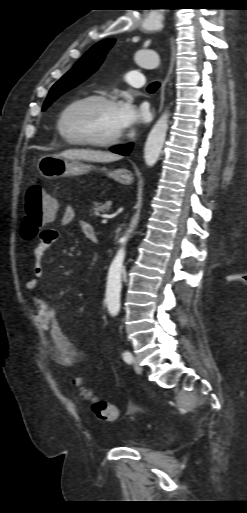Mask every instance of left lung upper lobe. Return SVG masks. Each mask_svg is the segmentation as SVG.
<instances>
[{
    "label": "left lung upper lobe",
    "mask_w": 247,
    "mask_h": 513,
    "mask_svg": "<svg viewBox=\"0 0 247 513\" xmlns=\"http://www.w3.org/2000/svg\"><path fill=\"white\" fill-rule=\"evenodd\" d=\"M114 42L115 39L109 38L90 48L74 67L51 88L42 110H46L60 95L74 88L95 72Z\"/></svg>",
    "instance_id": "1"
}]
</instances>
